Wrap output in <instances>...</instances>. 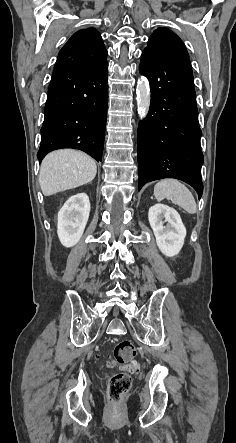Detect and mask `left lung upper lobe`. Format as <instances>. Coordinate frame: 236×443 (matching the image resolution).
Returning a JSON list of instances; mask_svg holds the SVG:
<instances>
[{"label": "left lung upper lobe", "mask_w": 236, "mask_h": 443, "mask_svg": "<svg viewBox=\"0 0 236 443\" xmlns=\"http://www.w3.org/2000/svg\"><path fill=\"white\" fill-rule=\"evenodd\" d=\"M144 51L163 57L189 58L182 40L164 27L153 32Z\"/></svg>", "instance_id": "obj_1"}]
</instances>
